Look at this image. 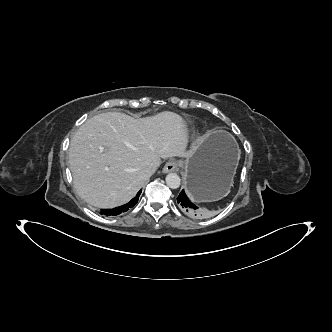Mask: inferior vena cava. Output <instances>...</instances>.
<instances>
[{
    "instance_id": "1",
    "label": "inferior vena cava",
    "mask_w": 332,
    "mask_h": 332,
    "mask_svg": "<svg viewBox=\"0 0 332 332\" xmlns=\"http://www.w3.org/2000/svg\"><path fill=\"white\" fill-rule=\"evenodd\" d=\"M156 171V167L152 164L148 167L147 172L152 175Z\"/></svg>"
}]
</instances>
